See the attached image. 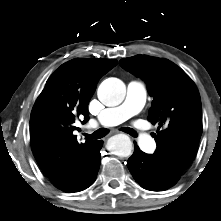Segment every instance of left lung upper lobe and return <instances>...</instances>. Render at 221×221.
<instances>
[{"instance_id": "obj_1", "label": "left lung upper lobe", "mask_w": 221, "mask_h": 221, "mask_svg": "<svg viewBox=\"0 0 221 221\" xmlns=\"http://www.w3.org/2000/svg\"><path fill=\"white\" fill-rule=\"evenodd\" d=\"M120 64L147 83L153 97L148 120L159 125L153 157L167 179L176 183L193 161L202 134L198 89L167 59L138 55L121 59Z\"/></svg>"}]
</instances>
